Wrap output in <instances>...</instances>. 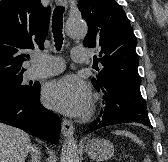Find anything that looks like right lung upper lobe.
Segmentation results:
<instances>
[{
    "mask_svg": "<svg viewBox=\"0 0 168 162\" xmlns=\"http://www.w3.org/2000/svg\"><path fill=\"white\" fill-rule=\"evenodd\" d=\"M49 17L40 0L0 1V75L24 72L26 51L44 48Z\"/></svg>",
    "mask_w": 168,
    "mask_h": 162,
    "instance_id": "cb5924a9",
    "label": "right lung upper lobe"
}]
</instances>
